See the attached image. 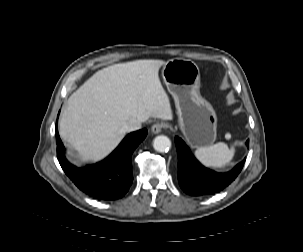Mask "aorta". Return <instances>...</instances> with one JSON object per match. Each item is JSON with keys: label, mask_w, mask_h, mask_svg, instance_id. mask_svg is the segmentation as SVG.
Listing matches in <instances>:
<instances>
[{"label": "aorta", "mask_w": 303, "mask_h": 252, "mask_svg": "<svg viewBox=\"0 0 303 252\" xmlns=\"http://www.w3.org/2000/svg\"><path fill=\"white\" fill-rule=\"evenodd\" d=\"M153 147L158 152H166L171 147V141L167 136L159 135L154 138Z\"/></svg>", "instance_id": "obj_1"}]
</instances>
